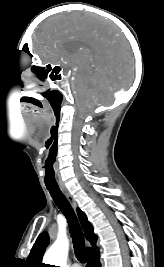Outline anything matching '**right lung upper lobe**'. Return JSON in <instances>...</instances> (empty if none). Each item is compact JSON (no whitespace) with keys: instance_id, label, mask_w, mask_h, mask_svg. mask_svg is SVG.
Segmentation results:
<instances>
[{"instance_id":"right-lung-upper-lobe-1","label":"right lung upper lobe","mask_w":164,"mask_h":267,"mask_svg":"<svg viewBox=\"0 0 164 267\" xmlns=\"http://www.w3.org/2000/svg\"><path fill=\"white\" fill-rule=\"evenodd\" d=\"M80 222L83 226L85 236L90 241L93 247H96L97 236L93 232L92 225L87 220L86 215L78 208L77 209ZM49 244V236L47 232H43L39 235L36 242L34 243L32 250L28 256L27 262L30 267H42V257L46 247ZM95 252L92 248H87V255Z\"/></svg>"}]
</instances>
